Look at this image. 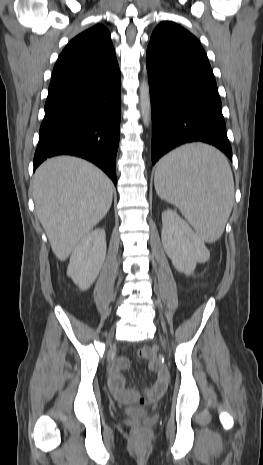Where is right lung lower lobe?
I'll return each instance as SVG.
<instances>
[{
    "label": "right lung lower lobe",
    "instance_id": "obj_1",
    "mask_svg": "<svg viewBox=\"0 0 263 465\" xmlns=\"http://www.w3.org/2000/svg\"><path fill=\"white\" fill-rule=\"evenodd\" d=\"M121 75L49 88L34 170L48 157L69 154L100 167L116 184Z\"/></svg>",
    "mask_w": 263,
    "mask_h": 465
}]
</instances>
